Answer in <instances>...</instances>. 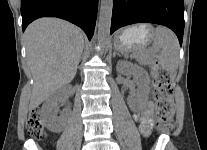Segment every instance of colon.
Returning <instances> with one entry per match:
<instances>
[{
	"mask_svg": "<svg viewBox=\"0 0 207 150\" xmlns=\"http://www.w3.org/2000/svg\"><path fill=\"white\" fill-rule=\"evenodd\" d=\"M155 103H156V124L160 129L170 130L173 127V91L172 82L174 72L164 67L160 62L153 66ZM29 134L37 139L44 136V127L38 110L30 113L27 120Z\"/></svg>",
	"mask_w": 207,
	"mask_h": 150,
	"instance_id": "colon-1",
	"label": "colon"
}]
</instances>
